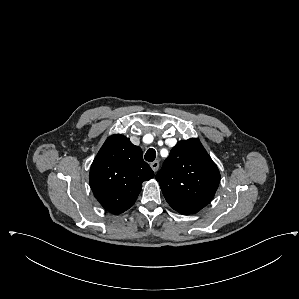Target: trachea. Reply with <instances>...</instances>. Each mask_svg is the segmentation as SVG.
Masks as SVG:
<instances>
[{
	"label": "trachea",
	"instance_id": "trachea-1",
	"mask_svg": "<svg viewBox=\"0 0 299 299\" xmlns=\"http://www.w3.org/2000/svg\"><path fill=\"white\" fill-rule=\"evenodd\" d=\"M156 158V151L153 148L147 150L145 154V160L148 162L154 161Z\"/></svg>",
	"mask_w": 299,
	"mask_h": 299
}]
</instances>
